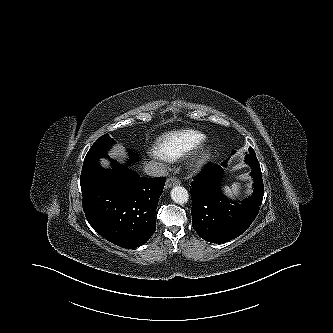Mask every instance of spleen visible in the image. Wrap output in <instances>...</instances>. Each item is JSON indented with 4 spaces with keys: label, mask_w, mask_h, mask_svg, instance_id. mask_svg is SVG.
<instances>
[{
    "label": "spleen",
    "mask_w": 333,
    "mask_h": 333,
    "mask_svg": "<svg viewBox=\"0 0 333 333\" xmlns=\"http://www.w3.org/2000/svg\"><path fill=\"white\" fill-rule=\"evenodd\" d=\"M224 192L227 196L235 198L238 197L241 191V183H233L231 187L224 186L223 187Z\"/></svg>",
    "instance_id": "spleen-1"
}]
</instances>
